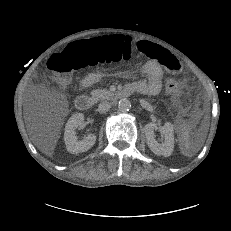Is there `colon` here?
I'll list each match as a JSON object with an SVG mask.
<instances>
[{"label": "colon", "mask_w": 231, "mask_h": 231, "mask_svg": "<svg viewBox=\"0 0 231 231\" xmlns=\"http://www.w3.org/2000/svg\"><path fill=\"white\" fill-rule=\"evenodd\" d=\"M132 40L127 36L112 35L88 42L69 45L63 53L49 60V69L57 76L59 85L65 87L71 81V74L78 68L97 63L126 62L133 58ZM167 92L176 94L178 81L167 78Z\"/></svg>", "instance_id": "colon-1"}]
</instances>
